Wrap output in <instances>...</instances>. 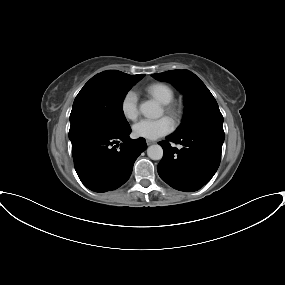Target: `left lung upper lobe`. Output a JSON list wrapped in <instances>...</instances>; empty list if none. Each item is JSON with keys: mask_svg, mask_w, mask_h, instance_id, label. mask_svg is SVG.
I'll return each instance as SVG.
<instances>
[{"mask_svg": "<svg viewBox=\"0 0 285 285\" xmlns=\"http://www.w3.org/2000/svg\"><path fill=\"white\" fill-rule=\"evenodd\" d=\"M152 76L172 83L184 94L185 114L174 134L187 135L202 128L223 130V116L215 98L194 73L188 70H170Z\"/></svg>", "mask_w": 285, "mask_h": 285, "instance_id": "1", "label": "left lung upper lobe"}]
</instances>
